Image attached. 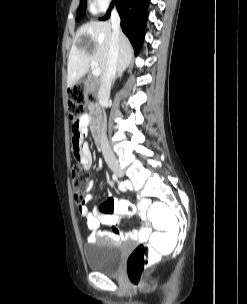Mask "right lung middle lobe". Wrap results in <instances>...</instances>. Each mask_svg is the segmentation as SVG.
<instances>
[{
    "label": "right lung middle lobe",
    "mask_w": 247,
    "mask_h": 304,
    "mask_svg": "<svg viewBox=\"0 0 247 304\" xmlns=\"http://www.w3.org/2000/svg\"><path fill=\"white\" fill-rule=\"evenodd\" d=\"M86 10V0H81L80 5L78 7L77 15H76V21H80L84 15Z\"/></svg>",
    "instance_id": "right-lung-middle-lobe-1"
}]
</instances>
